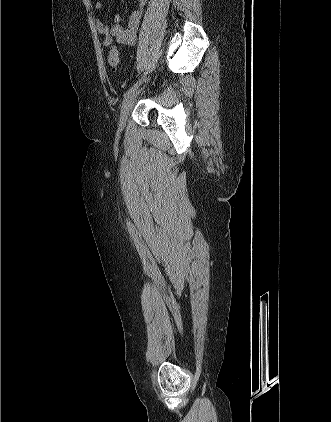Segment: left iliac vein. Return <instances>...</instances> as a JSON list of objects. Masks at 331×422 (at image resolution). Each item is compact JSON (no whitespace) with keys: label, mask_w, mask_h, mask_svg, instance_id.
Instances as JSON below:
<instances>
[{"label":"left iliac vein","mask_w":331,"mask_h":422,"mask_svg":"<svg viewBox=\"0 0 331 422\" xmlns=\"http://www.w3.org/2000/svg\"><path fill=\"white\" fill-rule=\"evenodd\" d=\"M141 89H136L129 97H127L124 101H123V105H122V109H121V113H120V118H119V128L121 130H123L126 126L127 123V116L129 113L130 108L132 107L136 97L138 96V94L140 93Z\"/></svg>","instance_id":"obj_1"}]
</instances>
